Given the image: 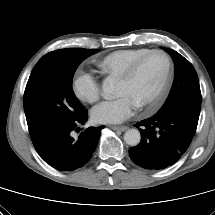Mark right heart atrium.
<instances>
[{"instance_id":"1","label":"right heart atrium","mask_w":215,"mask_h":215,"mask_svg":"<svg viewBox=\"0 0 215 215\" xmlns=\"http://www.w3.org/2000/svg\"><path fill=\"white\" fill-rule=\"evenodd\" d=\"M73 91L80 100L93 103L100 97V84L91 73L80 70L74 76Z\"/></svg>"}]
</instances>
